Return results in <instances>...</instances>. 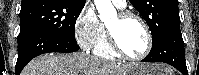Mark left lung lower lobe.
Masks as SVG:
<instances>
[{
  "label": "left lung lower lobe",
  "mask_w": 199,
  "mask_h": 75,
  "mask_svg": "<svg viewBox=\"0 0 199 75\" xmlns=\"http://www.w3.org/2000/svg\"><path fill=\"white\" fill-rule=\"evenodd\" d=\"M142 61L167 63L183 75H188L180 26L171 28L158 42L152 44L150 53Z\"/></svg>",
  "instance_id": "obj_1"
}]
</instances>
